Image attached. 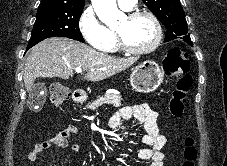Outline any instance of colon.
Listing matches in <instances>:
<instances>
[{
  "instance_id": "5ec220e1",
  "label": "colon",
  "mask_w": 227,
  "mask_h": 166,
  "mask_svg": "<svg viewBox=\"0 0 227 166\" xmlns=\"http://www.w3.org/2000/svg\"><path fill=\"white\" fill-rule=\"evenodd\" d=\"M164 68L167 76L178 79L176 89L169 100V111L174 117H182L185 96L193 84L187 53L179 46L172 47L166 57ZM49 90L50 102L54 107H60L69 96L68 90L58 83L51 84ZM183 155L182 166H195L197 150L192 138L185 140Z\"/></svg>"
}]
</instances>
